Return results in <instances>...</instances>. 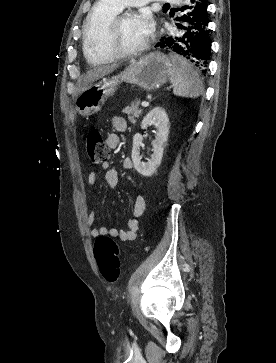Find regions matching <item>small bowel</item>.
Returning <instances> with one entry per match:
<instances>
[{"label": "small bowel", "instance_id": "1", "mask_svg": "<svg viewBox=\"0 0 276 363\" xmlns=\"http://www.w3.org/2000/svg\"><path fill=\"white\" fill-rule=\"evenodd\" d=\"M111 125L114 129L113 133L108 134L106 138L107 146L111 149H115L120 143V133L127 128L126 120L122 116H114L111 119ZM123 167L126 170L133 169V163L130 158H126L123 161ZM104 171V180L107 186L115 188L119 184V176L115 169L110 168L108 163H103L100 167ZM97 181V172L92 171L88 175V185L94 186ZM145 199L141 194H138L135 198V202L132 208V216L128 219L125 230H118L116 228L109 227H93L95 221V213L91 210L87 216V224L90 227V235L92 237H98L100 235H109L119 239L122 242H133L137 239L138 231L140 229V217L145 210Z\"/></svg>", "mask_w": 276, "mask_h": 363}]
</instances>
